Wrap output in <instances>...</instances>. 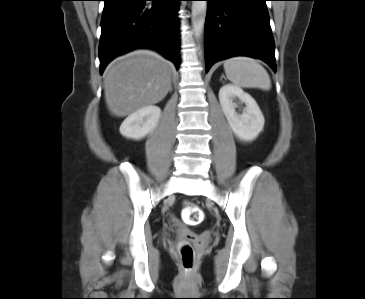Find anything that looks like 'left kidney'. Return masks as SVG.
<instances>
[{"instance_id": "1", "label": "left kidney", "mask_w": 365, "mask_h": 299, "mask_svg": "<svg viewBox=\"0 0 365 299\" xmlns=\"http://www.w3.org/2000/svg\"><path fill=\"white\" fill-rule=\"evenodd\" d=\"M219 101L228 124L237 138L250 142L257 138L264 127V116L256 101L237 86L227 84L219 91ZM246 105L242 114L236 111Z\"/></svg>"}]
</instances>
